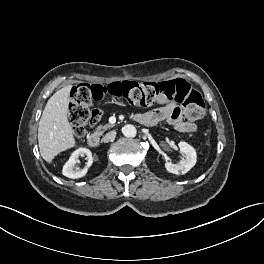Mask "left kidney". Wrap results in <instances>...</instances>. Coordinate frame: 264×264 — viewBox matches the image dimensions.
I'll use <instances>...</instances> for the list:
<instances>
[{
    "label": "left kidney",
    "instance_id": "left-kidney-1",
    "mask_svg": "<svg viewBox=\"0 0 264 264\" xmlns=\"http://www.w3.org/2000/svg\"><path fill=\"white\" fill-rule=\"evenodd\" d=\"M178 146L183 152L184 157L177 164L166 162L165 168L173 174H185L196 164L197 154L195 149L186 142H179Z\"/></svg>",
    "mask_w": 264,
    "mask_h": 264
}]
</instances>
